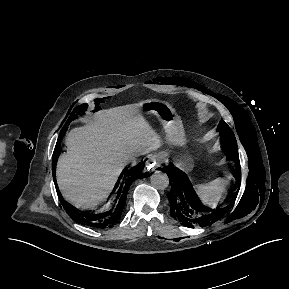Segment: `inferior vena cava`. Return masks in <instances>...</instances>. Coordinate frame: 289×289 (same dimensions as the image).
Wrapping results in <instances>:
<instances>
[{"mask_svg":"<svg viewBox=\"0 0 289 289\" xmlns=\"http://www.w3.org/2000/svg\"><path fill=\"white\" fill-rule=\"evenodd\" d=\"M130 162H131V163H135V162H136V159H135L134 157H132V158L130 159Z\"/></svg>","mask_w":289,"mask_h":289,"instance_id":"1","label":"inferior vena cava"}]
</instances>
